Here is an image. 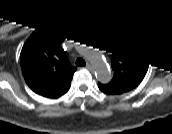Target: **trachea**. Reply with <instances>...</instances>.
Returning <instances> with one entry per match:
<instances>
[{
    "label": "trachea",
    "mask_w": 172,
    "mask_h": 134,
    "mask_svg": "<svg viewBox=\"0 0 172 134\" xmlns=\"http://www.w3.org/2000/svg\"><path fill=\"white\" fill-rule=\"evenodd\" d=\"M76 65H77V66H82V65H85V62H84V60H82L81 58H77V60H76Z\"/></svg>",
    "instance_id": "1"
}]
</instances>
